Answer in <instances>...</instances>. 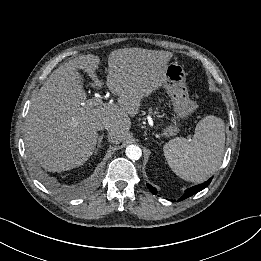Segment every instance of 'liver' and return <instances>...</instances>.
<instances>
[{
    "mask_svg": "<svg viewBox=\"0 0 261 261\" xmlns=\"http://www.w3.org/2000/svg\"><path fill=\"white\" fill-rule=\"evenodd\" d=\"M173 54L168 51L124 48L108 57L106 85L118 96L117 104L89 106L78 81L84 70L92 87H101L96 75L98 56L82 55L63 64L45 81L32 99L25 123L27 150L49 172H62L83 165L93 154L97 131L108 128L111 143L122 142L131 128L143 97L162 86L165 69Z\"/></svg>",
    "mask_w": 261,
    "mask_h": 261,
    "instance_id": "liver-1",
    "label": "liver"
}]
</instances>
